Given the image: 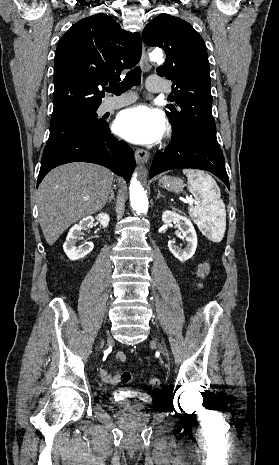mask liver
<instances>
[{"mask_svg": "<svg viewBox=\"0 0 279 465\" xmlns=\"http://www.w3.org/2000/svg\"><path fill=\"white\" fill-rule=\"evenodd\" d=\"M113 178L105 167L85 162L61 165L45 176L37 201L39 223L49 245L73 223L104 207Z\"/></svg>", "mask_w": 279, "mask_h": 465, "instance_id": "6515ba94", "label": "liver"}]
</instances>
